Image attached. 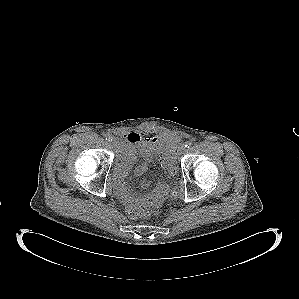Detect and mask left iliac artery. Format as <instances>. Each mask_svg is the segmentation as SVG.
<instances>
[{
  "instance_id": "1",
  "label": "left iliac artery",
  "mask_w": 299,
  "mask_h": 299,
  "mask_svg": "<svg viewBox=\"0 0 299 299\" xmlns=\"http://www.w3.org/2000/svg\"><path fill=\"white\" fill-rule=\"evenodd\" d=\"M191 145H192V142H191V141H187V142L185 143V147H186V148H190Z\"/></svg>"
}]
</instances>
